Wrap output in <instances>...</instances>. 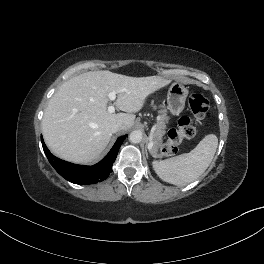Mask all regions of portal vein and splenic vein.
<instances>
[{
    "mask_svg": "<svg viewBox=\"0 0 264 264\" xmlns=\"http://www.w3.org/2000/svg\"><path fill=\"white\" fill-rule=\"evenodd\" d=\"M123 91V90H122ZM116 94H117V92L116 91H111V92H109L108 93V97H109V99L111 100V101H114L115 99H116ZM108 112H110V113H114L115 112V107H114V105H110L109 107H108ZM153 146V141H152V139L150 140V143H149V147L151 148Z\"/></svg>",
    "mask_w": 264,
    "mask_h": 264,
    "instance_id": "portal-vein-and-splenic-vein-1",
    "label": "portal vein and splenic vein"
}]
</instances>
